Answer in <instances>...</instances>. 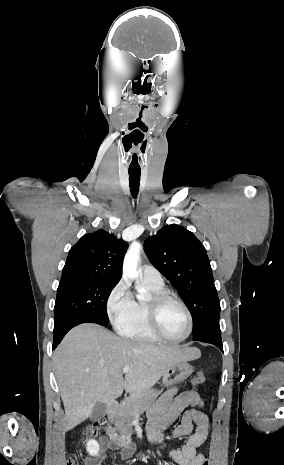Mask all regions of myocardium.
Listing matches in <instances>:
<instances>
[{
    "label": "myocardium",
    "instance_id": "f54148a6",
    "mask_svg": "<svg viewBox=\"0 0 284 465\" xmlns=\"http://www.w3.org/2000/svg\"><path fill=\"white\" fill-rule=\"evenodd\" d=\"M169 303H175L179 305L187 314L188 317V330L187 333L185 334L184 337L178 340H172L164 336V334L161 331L160 328V320H161V314L164 309V307L169 304ZM147 313H148V321H147V327L151 334L160 342L166 343V344H181L185 342L190 335L193 332L194 329V318L193 315L188 308V306L181 301L180 299L166 293V292H161L158 294H154L147 302Z\"/></svg>",
    "mask_w": 284,
    "mask_h": 465
}]
</instances>
